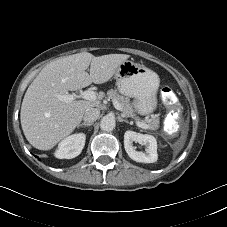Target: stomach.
<instances>
[{"instance_id":"stomach-1","label":"stomach","mask_w":227,"mask_h":227,"mask_svg":"<svg viewBox=\"0 0 227 227\" xmlns=\"http://www.w3.org/2000/svg\"><path fill=\"white\" fill-rule=\"evenodd\" d=\"M114 78L118 91L134 98L133 106L140 115H148L157 108L159 76L146 66L126 60L117 68Z\"/></svg>"}]
</instances>
